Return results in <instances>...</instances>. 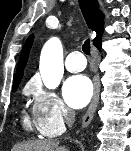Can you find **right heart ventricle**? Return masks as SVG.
<instances>
[{
    "label": "right heart ventricle",
    "instance_id": "e07e8e85",
    "mask_svg": "<svg viewBox=\"0 0 131 151\" xmlns=\"http://www.w3.org/2000/svg\"><path fill=\"white\" fill-rule=\"evenodd\" d=\"M23 125L28 130H31L32 126H33V122L31 120V118L26 113L23 116Z\"/></svg>",
    "mask_w": 131,
    "mask_h": 151
}]
</instances>
